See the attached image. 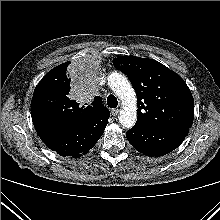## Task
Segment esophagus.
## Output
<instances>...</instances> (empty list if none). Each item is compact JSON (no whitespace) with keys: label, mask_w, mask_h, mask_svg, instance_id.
Here are the masks:
<instances>
[{"label":"esophagus","mask_w":220,"mask_h":220,"mask_svg":"<svg viewBox=\"0 0 220 220\" xmlns=\"http://www.w3.org/2000/svg\"><path fill=\"white\" fill-rule=\"evenodd\" d=\"M111 114H112L113 116H117V115L119 114V109H118V108L112 109V110H111Z\"/></svg>","instance_id":"34e87169"}]
</instances>
